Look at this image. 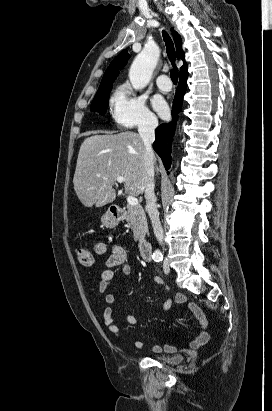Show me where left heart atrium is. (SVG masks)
Here are the masks:
<instances>
[{
	"instance_id": "39dd6f15",
	"label": "left heart atrium",
	"mask_w": 272,
	"mask_h": 411,
	"mask_svg": "<svg viewBox=\"0 0 272 411\" xmlns=\"http://www.w3.org/2000/svg\"><path fill=\"white\" fill-rule=\"evenodd\" d=\"M153 106H154L155 110L162 117H164L168 113L167 105L162 99H159V98L154 99Z\"/></svg>"
}]
</instances>
